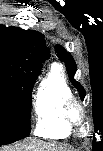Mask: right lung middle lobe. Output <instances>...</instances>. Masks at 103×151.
I'll use <instances>...</instances> for the list:
<instances>
[{
  "label": "right lung middle lobe",
  "mask_w": 103,
  "mask_h": 151,
  "mask_svg": "<svg viewBox=\"0 0 103 151\" xmlns=\"http://www.w3.org/2000/svg\"><path fill=\"white\" fill-rule=\"evenodd\" d=\"M35 81L12 84L0 77V145L30 134L31 96Z\"/></svg>",
  "instance_id": "right-lung-middle-lobe-1"
}]
</instances>
